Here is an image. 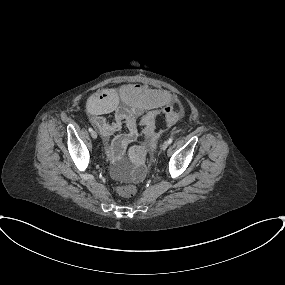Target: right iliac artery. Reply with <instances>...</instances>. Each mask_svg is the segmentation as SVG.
Masks as SVG:
<instances>
[{"instance_id":"1","label":"right iliac artery","mask_w":285,"mask_h":285,"mask_svg":"<svg viewBox=\"0 0 285 285\" xmlns=\"http://www.w3.org/2000/svg\"><path fill=\"white\" fill-rule=\"evenodd\" d=\"M88 130H89V132H92V131H93V129H92L91 127H89V129H88Z\"/></svg>"}]
</instances>
